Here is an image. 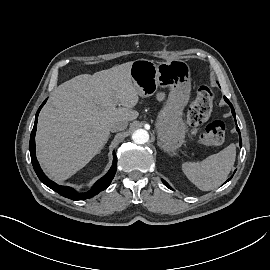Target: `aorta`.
Returning <instances> with one entry per match:
<instances>
[{
  "instance_id": "obj_1",
  "label": "aorta",
  "mask_w": 270,
  "mask_h": 270,
  "mask_svg": "<svg viewBox=\"0 0 270 270\" xmlns=\"http://www.w3.org/2000/svg\"><path fill=\"white\" fill-rule=\"evenodd\" d=\"M132 139L136 144H145L149 140V134L144 129H138L132 134Z\"/></svg>"
}]
</instances>
